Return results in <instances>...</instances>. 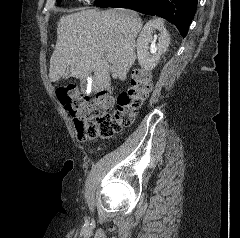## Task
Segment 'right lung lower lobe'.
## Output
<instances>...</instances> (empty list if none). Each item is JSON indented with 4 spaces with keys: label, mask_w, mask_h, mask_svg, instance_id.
<instances>
[{
    "label": "right lung lower lobe",
    "mask_w": 240,
    "mask_h": 238,
    "mask_svg": "<svg viewBox=\"0 0 240 238\" xmlns=\"http://www.w3.org/2000/svg\"><path fill=\"white\" fill-rule=\"evenodd\" d=\"M198 0H96L99 7L131 8L147 15H156L173 23L186 36L195 15Z\"/></svg>",
    "instance_id": "right-lung-lower-lobe-1"
}]
</instances>
